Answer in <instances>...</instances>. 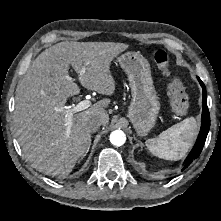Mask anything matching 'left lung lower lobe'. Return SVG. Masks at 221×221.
Instances as JSON below:
<instances>
[{"instance_id": "0a47b994", "label": "left lung lower lobe", "mask_w": 221, "mask_h": 221, "mask_svg": "<svg viewBox=\"0 0 221 221\" xmlns=\"http://www.w3.org/2000/svg\"><path fill=\"white\" fill-rule=\"evenodd\" d=\"M198 80L203 88V97H202L203 98L202 100L203 111H202V120H201L202 124H201V129H200L198 138L196 140V143L184 161L183 169L187 168L196 158L199 157L203 149V145L205 143V140L209 131V127H210V115H209V111L207 107L206 89H205L203 82L200 80V78H198Z\"/></svg>"}]
</instances>
